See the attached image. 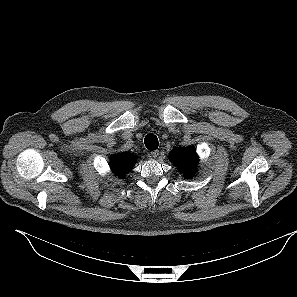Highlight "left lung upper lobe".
Segmentation results:
<instances>
[{
	"label": "left lung upper lobe",
	"instance_id": "1",
	"mask_svg": "<svg viewBox=\"0 0 297 297\" xmlns=\"http://www.w3.org/2000/svg\"><path fill=\"white\" fill-rule=\"evenodd\" d=\"M169 159L178 168V170L185 173V176H188V178L195 174V167L198 161L195 148H174L169 153Z\"/></svg>",
	"mask_w": 297,
	"mask_h": 297
}]
</instances>
